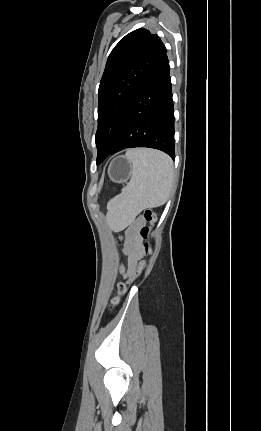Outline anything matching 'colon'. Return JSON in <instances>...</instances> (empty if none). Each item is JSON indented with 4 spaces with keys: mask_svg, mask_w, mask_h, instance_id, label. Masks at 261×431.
Returning <instances> with one entry per match:
<instances>
[{
    "mask_svg": "<svg viewBox=\"0 0 261 431\" xmlns=\"http://www.w3.org/2000/svg\"><path fill=\"white\" fill-rule=\"evenodd\" d=\"M142 215L144 220L149 224V226L143 227L140 231L141 237L145 240L144 250L146 255H148L152 252L149 239L152 235L153 226L156 222V214L151 209H145ZM145 266H146L145 260H141L138 263L135 271L128 276V279L126 281H122L117 284L114 291V296L111 300L112 305L118 303L120 296L124 295L127 292L129 284L141 273V271L145 268Z\"/></svg>",
    "mask_w": 261,
    "mask_h": 431,
    "instance_id": "obj_1",
    "label": "colon"
}]
</instances>
